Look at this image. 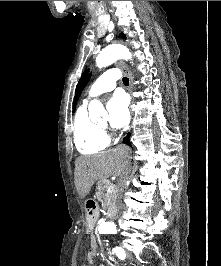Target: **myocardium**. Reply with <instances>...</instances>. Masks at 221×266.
<instances>
[{
  "mask_svg": "<svg viewBox=\"0 0 221 266\" xmlns=\"http://www.w3.org/2000/svg\"><path fill=\"white\" fill-rule=\"evenodd\" d=\"M100 127H101L102 129H106V128H107V127L104 126V125H100Z\"/></svg>",
  "mask_w": 221,
  "mask_h": 266,
  "instance_id": "f54148a6",
  "label": "myocardium"
}]
</instances>
